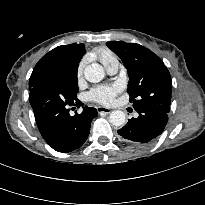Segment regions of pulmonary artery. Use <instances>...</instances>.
Here are the masks:
<instances>
[{"mask_svg":"<svg viewBox=\"0 0 205 205\" xmlns=\"http://www.w3.org/2000/svg\"><path fill=\"white\" fill-rule=\"evenodd\" d=\"M119 70V62H116L107 68V72L110 75H115Z\"/></svg>","mask_w":205,"mask_h":205,"instance_id":"obj_1","label":"pulmonary artery"}]
</instances>
